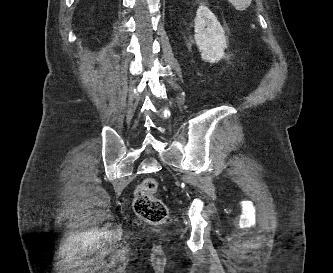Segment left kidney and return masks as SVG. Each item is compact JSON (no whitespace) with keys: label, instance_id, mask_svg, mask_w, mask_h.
Here are the masks:
<instances>
[{"label":"left kidney","instance_id":"5707ae66","mask_svg":"<svg viewBox=\"0 0 333 273\" xmlns=\"http://www.w3.org/2000/svg\"><path fill=\"white\" fill-rule=\"evenodd\" d=\"M194 39L204 61L215 63L224 57L227 48L225 32L216 16L205 6L197 9Z\"/></svg>","mask_w":333,"mask_h":273}]
</instances>
